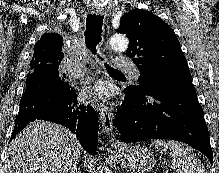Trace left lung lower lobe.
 <instances>
[{
    "mask_svg": "<svg viewBox=\"0 0 219 173\" xmlns=\"http://www.w3.org/2000/svg\"><path fill=\"white\" fill-rule=\"evenodd\" d=\"M126 98L117 110L115 125L123 142L171 139L201 151L213 163L208 128L194 87Z\"/></svg>",
    "mask_w": 219,
    "mask_h": 173,
    "instance_id": "left-lung-lower-lobe-1",
    "label": "left lung lower lobe"
}]
</instances>
